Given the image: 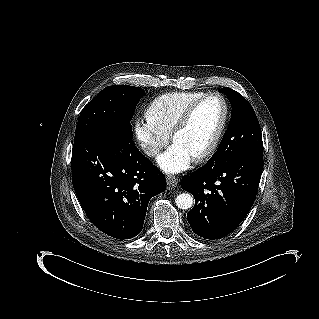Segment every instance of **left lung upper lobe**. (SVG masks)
<instances>
[{
	"instance_id": "1",
	"label": "left lung upper lobe",
	"mask_w": 319,
	"mask_h": 319,
	"mask_svg": "<svg viewBox=\"0 0 319 319\" xmlns=\"http://www.w3.org/2000/svg\"><path fill=\"white\" fill-rule=\"evenodd\" d=\"M219 92L224 93L231 103V121L218 150L208 163L226 162L244 154L263 152L259 122L250 103L231 88L224 87Z\"/></svg>"
}]
</instances>
